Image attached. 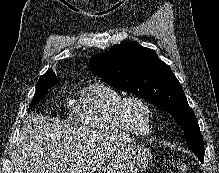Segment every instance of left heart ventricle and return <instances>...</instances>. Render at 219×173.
<instances>
[{
	"mask_svg": "<svg viewBox=\"0 0 219 173\" xmlns=\"http://www.w3.org/2000/svg\"><path fill=\"white\" fill-rule=\"evenodd\" d=\"M125 114L128 122L136 129L146 130L149 116L143 105L138 102H130L126 106Z\"/></svg>",
	"mask_w": 219,
	"mask_h": 173,
	"instance_id": "left-heart-ventricle-1",
	"label": "left heart ventricle"
}]
</instances>
